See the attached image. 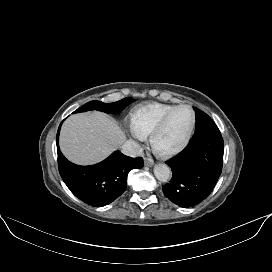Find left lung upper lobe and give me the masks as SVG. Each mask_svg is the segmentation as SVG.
<instances>
[{"mask_svg":"<svg viewBox=\"0 0 272 272\" xmlns=\"http://www.w3.org/2000/svg\"><path fill=\"white\" fill-rule=\"evenodd\" d=\"M196 116V128L193 136L200 135L214 127H217L214 121L203 111L194 107Z\"/></svg>","mask_w":272,"mask_h":272,"instance_id":"left-lung-upper-lobe-1","label":"left lung upper lobe"}]
</instances>
